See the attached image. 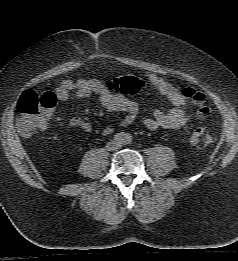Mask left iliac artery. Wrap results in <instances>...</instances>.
I'll return each instance as SVG.
<instances>
[{"label": "left iliac artery", "instance_id": "obj_1", "mask_svg": "<svg viewBox=\"0 0 238 261\" xmlns=\"http://www.w3.org/2000/svg\"><path fill=\"white\" fill-rule=\"evenodd\" d=\"M132 141H133L132 136L130 134H126L124 143L129 145L132 143Z\"/></svg>", "mask_w": 238, "mask_h": 261}]
</instances>
